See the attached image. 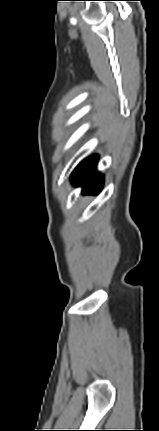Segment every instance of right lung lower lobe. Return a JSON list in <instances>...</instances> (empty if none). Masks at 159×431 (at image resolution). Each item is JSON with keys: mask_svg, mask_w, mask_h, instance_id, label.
<instances>
[{"mask_svg": "<svg viewBox=\"0 0 159 431\" xmlns=\"http://www.w3.org/2000/svg\"><path fill=\"white\" fill-rule=\"evenodd\" d=\"M97 155L84 160L72 173L71 180L75 186H81L83 193H98L103 186V178L96 170Z\"/></svg>", "mask_w": 159, "mask_h": 431, "instance_id": "98d812e1", "label": "right lung lower lobe"}]
</instances>
